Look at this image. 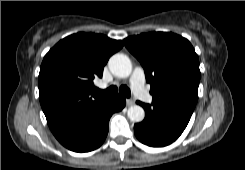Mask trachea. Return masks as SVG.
Here are the masks:
<instances>
[{
  "label": "trachea",
  "mask_w": 245,
  "mask_h": 170,
  "mask_svg": "<svg viewBox=\"0 0 245 170\" xmlns=\"http://www.w3.org/2000/svg\"><path fill=\"white\" fill-rule=\"evenodd\" d=\"M97 91L99 93H103V94H106V95H111V94L117 93L118 92V88L116 86L112 85V86H110L109 88H107L105 90L98 89ZM119 92L122 95H124L125 97H127V98L131 97L130 89L127 86H125V85L120 86Z\"/></svg>",
  "instance_id": "trachea-1"
}]
</instances>
